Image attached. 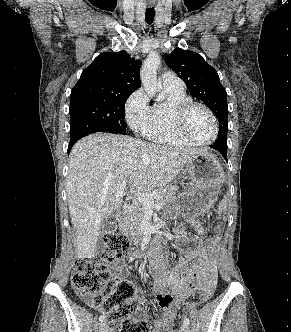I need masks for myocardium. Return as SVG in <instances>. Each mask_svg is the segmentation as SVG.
Masks as SVG:
<instances>
[{"label":"myocardium","mask_w":291,"mask_h":332,"mask_svg":"<svg viewBox=\"0 0 291 332\" xmlns=\"http://www.w3.org/2000/svg\"><path fill=\"white\" fill-rule=\"evenodd\" d=\"M199 108L204 110L211 118L213 125H214V135L213 137L208 141H199L195 139L188 131L187 129V121L188 116L191 113L192 110ZM174 122L175 127L177 131L188 141L193 143L194 145H209L212 144L218 137L219 134V125L217 118L213 111L206 105L194 101H188L184 102L180 105H178L174 111Z\"/></svg>","instance_id":"f54148a6"}]
</instances>
